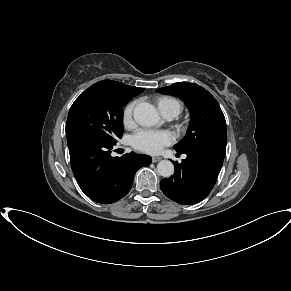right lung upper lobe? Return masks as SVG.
Masks as SVG:
<instances>
[{"mask_svg":"<svg viewBox=\"0 0 291 291\" xmlns=\"http://www.w3.org/2000/svg\"><path fill=\"white\" fill-rule=\"evenodd\" d=\"M95 84L104 86L115 93L130 96L132 98L137 96L144 90L143 88H138L135 86H128L121 82L112 81V80H103Z\"/></svg>","mask_w":291,"mask_h":291,"instance_id":"cb5924a9","label":"right lung upper lobe"}]
</instances>
